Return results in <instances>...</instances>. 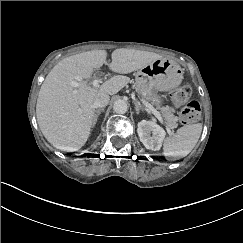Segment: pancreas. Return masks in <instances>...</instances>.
<instances>
[{
  "label": "pancreas",
  "instance_id": "1",
  "mask_svg": "<svg viewBox=\"0 0 243 243\" xmlns=\"http://www.w3.org/2000/svg\"><path fill=\"white\" fill-rule=\"evenodd\" d=\"M144 101H150L149 99H145ZM156 109L160 110L162 116L164 117L165 124L168 128L174 129L178 127V117L175 116L168 106H160L155 105Z\"/></svg>",
  "mask_w": 243,
  "mask_h": 243
}]
</instances>
